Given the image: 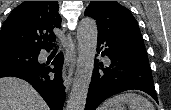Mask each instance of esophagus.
<instances>
[{
    "label": "esophagus",
    "instance_id": "esophagus-1",
    "mask_svg": "<svg viewBox=\"0 0 171 110\" xmlns=\"http://www.w3.org/2000/svg\"><path fill=\"white\" fill-rule=\"evenodd\" d=\"M76 64V48L71 35H67V52L62 68V78L66 89H69L72 83V77Z\"/></svg>",
    "mask_w": 171,
    "mask_h": 110
}]
</instances>
